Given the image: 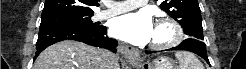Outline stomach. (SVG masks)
Wrapping results in <instances>:
<instances>
[{
  "label": "stomach",
  "mask_w": 246,
  "mask_h": 69,
  "mask_svg": "<svg viewBox=\"0 0 246 69\" xmlns=\"http://www.w3.org/2000/svg\"><path fill=\"white\" fill-rule=\"evenodd\" d=\"M136 69H178L167 57H158L152 62L133 63Z\"/></svg>",
  "instance_id": "obj_1"
}]
</instances>
